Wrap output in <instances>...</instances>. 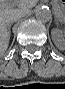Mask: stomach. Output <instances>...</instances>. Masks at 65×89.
Wrapping results in <instances>:
<instances>
[{"label": "stomach", "mask_w": 65, "mask_h": 89, "mask_svg": "<svg viewBox=\"0 0 65 89\" xmlns=\"http://www.w3.org/2000/svg\"><path fill=\"white\" fill-rule=\"evenodd\" d=\"M54 10L61 22L65 21V4L54 3Z\"/></svg>", "instance_id": "stomach-1"}]
</instances>
